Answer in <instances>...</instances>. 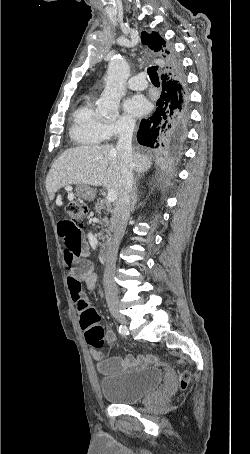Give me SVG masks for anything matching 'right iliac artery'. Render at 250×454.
<instances>
[{"label": "right iliac artery", "instance_id": "obj_1", "mask_svg": "<svg viewBox=\"0 0 250 454\" xmlns=\"http://www.w3.org/2000/svg\"><path fill=\"white\" fill-rule=\"evenodd\" d=\"M119 333L122 334V335H127L128 334V330H127L126 326L120 325L119 326Z\"/></svg>", "mask_w": 250, "mask_h": 454}]
</instances>
